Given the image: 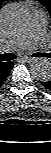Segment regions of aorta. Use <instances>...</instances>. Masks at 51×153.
<instances>
[{
    "mask_svg": "<svg viewBox=\"0 0 51 153\" xmlns=\"http://www.w3.org/2000/svg\"><path fill=\"white\" fill-rule=\"evenodd\" d=\"M28 13L17 5L11 4L3 8L1 12V24L3 30L9 34L22 33L28 26ZM31 73L39 81L51 79V62L47 58H37L31 64Z\"/></svg>",
    "mask_w": 51,
    "mask_h": 153,
    "instance_id": "1",
    "label": "aorta"
}]
</instances>
